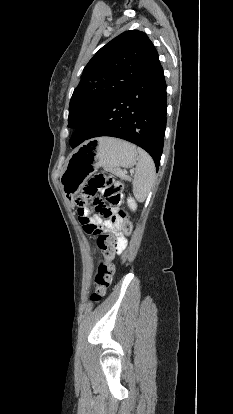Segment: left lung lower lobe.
Segmentation results:
<instances>
[{"instance_id":"0a47b994","label":"left lung lower lobe","mask_w":233,"mask_h":414,"mask_svg":"<svg viewBox=\"0 0 233 414\" xmlns=\"http://www.w3.org/2000/svg\"><path fill=\"white\" fill-rule=\"evenodd\" d=\"M166 82L159 59L133 84L75 128L72 148L100 136L117 137L147 151L158 170L166 127Z\"/></svg>"}]
</instances>
